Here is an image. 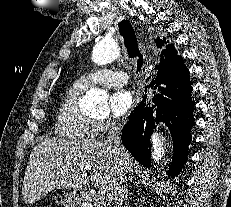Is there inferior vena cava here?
Returning a JSON list of instances; mask_svg holds the SVG:
<instances>
[{"mask_svg":"<svg viewBox=\"0 0 231 207\" xmlns=\"http://www.w3.org/2000/svg\"><path fill=\"white\" fill-rule=\"evenodd\" d=\"M121 122L112 121L108 126V136L105 143L112 149L119 161L117 168V180L113 190V197L116 207H127V178H126V159L127 152L121 145L120 131Z\"/></svg>","mask_w":231,"mask_h":207,"instance_id":"1","label":"inferior vena cava"}]
</instances>
